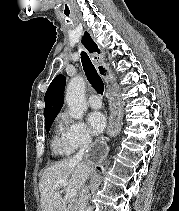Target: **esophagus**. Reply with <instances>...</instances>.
Returning <instances> with one entry per match:
<instances>
[{"label":"esophagus","instance_id":"obj_1","mask_svg":"<svg viewBox=\"0 0 179 211\" xmlns=\"http://www.w3.org/2000/svg\"><path fill=\"white\" fill-rule=\"evenodd\" d=\"M82 44L87 48L91 56H95L94 61L98 68L100 75H106L107 71L105 70V65L101 64L102 61H105L104 52H101L95 42L92 40L91 36L88 33H85L82 37ZM97 48L96 51H94ZM111 94H116V89L110 90ZM111 117L114 119L111 120V128L109 129L110 133H119L122 129V121H125V116L123 112H120V109H123V104H121V99L117 95L113 96L112 101H110ZM105 149H107V144H93V147H89V151H86L85 159L87 163H99V159L104 156Z\"/></svg>","mask_w":179,"mask_h":211}]
</instances>
